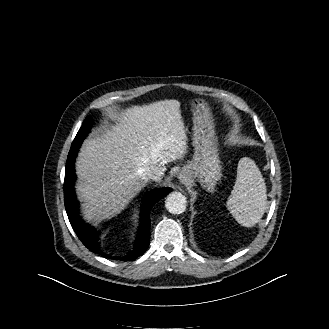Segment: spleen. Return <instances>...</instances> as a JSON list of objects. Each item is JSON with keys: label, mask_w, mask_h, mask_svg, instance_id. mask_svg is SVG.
Returning <instances> with one entry per match:
<instances>
[{"label": "spleen", "mask_w": 329, "mask_h": 329, "mask_svg": "<svg viewBox=\"0 0 329 329\" xmlns=\"http://www.w3.org/2000/svg\"><path fill=\"white\" fill-rule=\"evenodd\" d=\"M226 204L242 226L252 227L262 218L267 206L266 185L252 159L239 160L236 182Z\"/></svg>", "instance_id": "3e777b00"}]
</instances>
